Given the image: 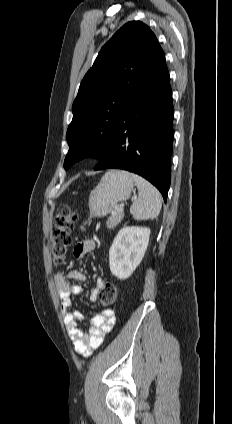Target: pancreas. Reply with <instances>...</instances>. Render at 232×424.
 <instances>
[{
  "label": "pancreas",
  "instance_id": "1",
  "mask_svg": "<svg viewBox=\"0 0 232 424\" xmlns=\"http://www.w3.org/2000/svg\"><path fill=\"white\" fill-rule=\"evenodd\" d=\"M123 217V212L115 211V214L111 215L106 222L107 229H114L122 221Z\"/></svg>",
  "mask_w": 232,
  "mask_h": 424
}]
</instances>
